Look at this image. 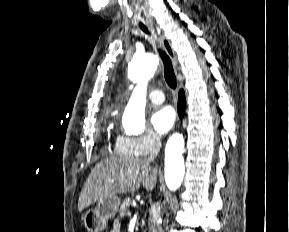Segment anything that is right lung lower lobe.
<instances>
[{"label":"right lung lower lobe","instance_id":"obj_1","mask_svg":"<svg viewBox=\"0 0 289 232\" xmlns=\"http://www.w3.org/2000/svg\"><path fill=\"white\" fill-rule=\"evenodd\" d=\"M177 108H178V114L182 118L184 115V111H185V94L182 90L179 92Z\"/></svg>","mask_w":289,"mask_h":232}]
</instances>
